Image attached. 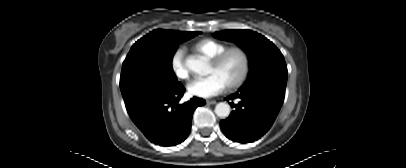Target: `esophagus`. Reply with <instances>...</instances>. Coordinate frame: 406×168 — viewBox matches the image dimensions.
<instances>
[{
    "label": "esophagus",
    "instance_id": "obj_1",
    "mask_svg": "<svg viewBox=\"0 0 406 168\" xmlns=\"http://www.w3.org/2000/svg\"><path fill=\"white\" fill-rule=\"evenodd\" d=\"M206 103L208 105H214V104H216V101L215 100H206Z\"/></svg>",
    "mask_w": 406,
    "mask_h": 168
}]
</instances>
